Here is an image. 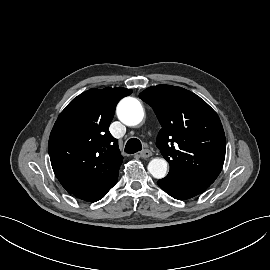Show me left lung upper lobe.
<instances>
[{
  "label": "left lung upper lobe",
  "instance_id": "left-lung-upper-lobe-1",
  "mask_svg": "<svg viewBox=\"0 0 270 270\" xmlns=\"http://www.w3.org/2000/svg\"><path fill=\"white\" fill-rule=\"evenodd\" d=\"M162 129L156 145L170 164L166 177H200L213 183L223 167L226 140L217 113L181 87L152 86L139 94Z\"/></svg>",
  "mask_w": 270,
  "mask_h": 270
}]
</instances>
